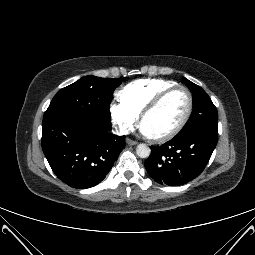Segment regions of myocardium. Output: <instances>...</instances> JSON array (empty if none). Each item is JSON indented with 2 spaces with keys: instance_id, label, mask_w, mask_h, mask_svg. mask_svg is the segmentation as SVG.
<instances>
[{
  "instance_id": "1",
  "label": "myocardium",
  "mask_w": 255,
  "mask_h": 255,
  "mask_svg": "<svg viewBox=\"0 0 255 255\" xmlns=\"http://www.w3.org/2000/svg\"><path fill=\"white\" fill-rule=\"evenodd\" d=\"M177 90H182L187 94L188 97V106H187V110L185 115L183 116L182 120L179 122V124L173 128L171 131L163 134V135H159V136H152V138L158 142H165L168 141L170 139H172L173 137H175L187 124L188 120L190 119V116L192 114L193 111V105H194V100H193V95L191 93V91L183 86V85H174L172 87H169L167 89H165L164 91H162L161 93H159L142 111L141 113V124H143L144 120L146 119V117L152 113L156 108L159 107V105L164 101V99L170 95L171 93H173L174 91Z\"/></svg>"
}]
</instances>
